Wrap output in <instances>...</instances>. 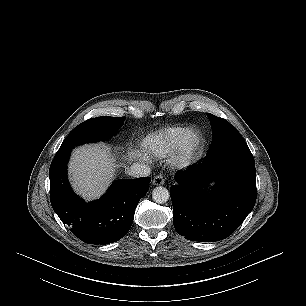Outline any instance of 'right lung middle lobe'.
I'll return each instance as SVG.
<instances>
[{
    "label": "right lung middle lobe",
    "instance_id": "obj_1",
    "mask_svg": "<svg viewBox=\"0 0 306 306\" xmlns=\"http://www.w3.org/2000/svg\"><path fill=\"white\" fill-rule=\"evenodd\" d=\"M124 121L125 117H97L84 121L68 134L55 156L84 143L109 139L117 133Z\"/></svg>",
    "mask_w": 306,
    "mask_h": 306
}]
</instances>
